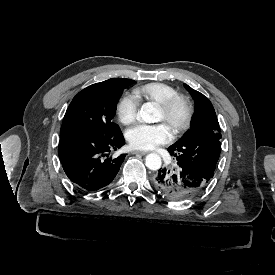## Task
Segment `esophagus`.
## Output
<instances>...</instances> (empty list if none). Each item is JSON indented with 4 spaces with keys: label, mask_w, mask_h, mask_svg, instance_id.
Returning <instances> with one entry per match:
<instances>
[{
    "label": "esophagus",
    "mask_w": 275,
    "mask_h": 275,
    "mask_svg": "<svg viewBox=\"0 0 275 275\" xmlns=\"http://www.w3.org/2000/svg\"><path fill=\"white\" fill-rule=\"evenodd\" d=\"M147 151H142V150H134L132 151V154H140V155H144L147 154Z\"/></svg>",
    "instance_id": "obj_1"
}]
</instances>
